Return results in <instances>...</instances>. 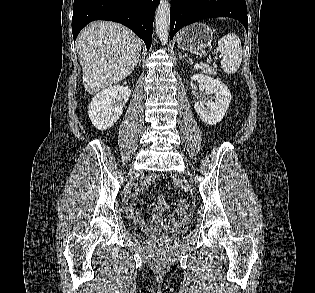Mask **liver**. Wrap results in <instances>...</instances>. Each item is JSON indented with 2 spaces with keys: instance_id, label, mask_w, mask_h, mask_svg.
<instances>
[{
  "instance_id": "6515ba94",
  "label": "liver",
  "mask_w": 315,
  "mask_h": 293,
  "mask_svg": "<svg viewBox=\"0 0 315 293\" xmlns=\"http://www.w3.org/2000/svg\"><path fill=\"white\" fill-rule=\"evenodd\" d=\"M83 85L90 94L119 83L136 67L141 51L138 37L109 21L93 22L78 36Z\"/></svg>"
}]
</instances>
